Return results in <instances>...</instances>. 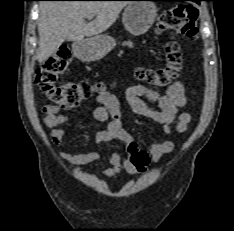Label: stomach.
Wrapping results in <instances>:
<instances>
[{"label": "stomach", "mask_w": 234, "mask_h": 231, "mask_svg": "<svg viewBox=\"0 0 234 231\" xmlns=\"http://www.w3.org/2000/svg\"><path fill=\"white\" fill-rule=\"evenodd\" d=\"M157 7L153 2L134 0L126 5L122 22L125 29L134 36L145 34L155 21ZM115 46V39L109 35H97L73 44L75 55L86 62L98 61Z\"/></svg>", "instance_id": "0dacf381"}]
</instances>
